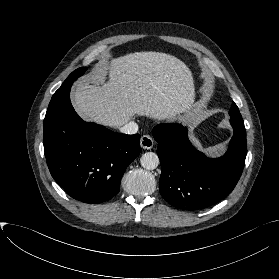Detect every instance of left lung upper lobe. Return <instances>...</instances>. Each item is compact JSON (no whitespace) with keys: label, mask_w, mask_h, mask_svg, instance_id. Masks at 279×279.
<instances>
[{"label":"left lung upper lobe","mask_w":279,"mask_h":279,"mask_svg":"<svg viewBox=\"0 0 279 279\" xmlns=\"http://www.w3.org/2000/svg\"><path fill=\"white\" fill-rule=\"evenodd\" d=\"M229 115H230L231 123H235V124L244 126V121L241 117V114L239 112L237 105L234 102L232 103L231 109L229 111Z\"/></svg>","instance_id":"5c2ea615"}]
</instances>
